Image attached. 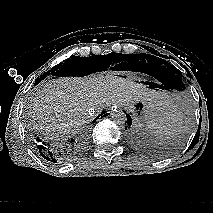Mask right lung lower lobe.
Wrapping results in <instances>:
<instances>
[{
	"instance_id": "obj_1",
	"label": "right lung lower lobe",
	"mask_w": 213,
	"mask_h": 213,
	"mask_svg": "<svg viewBox=\"0 0 213 213\" xmlns=\"http://www.w3.org/2000/svg\"><path fill=\"white\" fill-rule=\"evenodd\" d=\"M43 79L44 78L42 77L38 78L35 85L40 83ZM107 115H109V113L104 111L97 118L100 116L102 118ZM97 118L95 120H97ZM33 140L38 152L44 159L59 164L68 162L78 156L84 146V141L77 138H70L65 142H51L43 140L39 136L35 135Z\"/></svg>"
}]
</instances>
